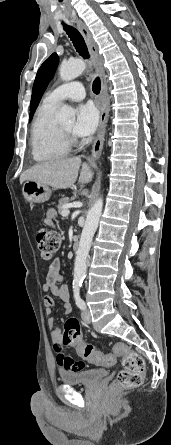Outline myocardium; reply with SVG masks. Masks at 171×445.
<instances>
[{
  "label": "myocardium",
  "mask_w": 171,
  "mask_h": 445,
  "mask_svg": "<svg viewBox=\"0 0 171 445\" xmlns=\"http://www.w3.org/2000/svg\"><path fill=\"white\" fill-rule=\"evenodd\" d=\"M58 132H59L61 138L63 139V141L65 142V144L69 148L78 145L79 142H78L77 138L74 136V134L63 129L61 127V125H58Z\"/></svg>",
  "instance_id": "1"
}]
</instances>
